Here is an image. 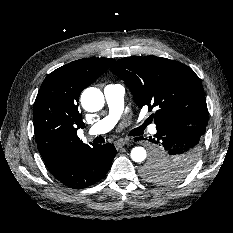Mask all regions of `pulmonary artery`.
<instances>
[{"label":"pulmonary artery","instance_id":"pulmonary-artery-1","mask_svg":"<svg viewBox=\"0 0 233 233\" xmlns=\"http://www.w3.org/2000/svg\"><path fill=\"white\" fill-rule=\"evenodd\" d=\"M108 114L96 122L89 130V135H101L110 131L120 119L124 108L125 89L120 84H108L103 90ZM150 132L155 133L156 127L152 125Z\"/></svg>","mask_w":233,"mask_h":233}]
</instances>
